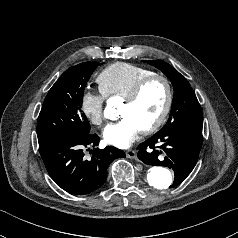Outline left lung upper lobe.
<instances>
[{
  "label": "left lung upper lobe",
  "instance_id": "1",
  "mask_svg": "<svg viewBox=\"0 0 238 238\" xmlns=\"http://www.w3.org/2000/svg\"><path fill=\"white\" fill-rule=\"evenodd\" d=\"M144 62L161 70L174 87V97L169 119L166 125L158 132H165L186 125H202L203 114L200 104L186 78L162 60H144Z\"/></svg>",
  "mask_w": 238,
  "mask_h": 238
}]
</instances>
